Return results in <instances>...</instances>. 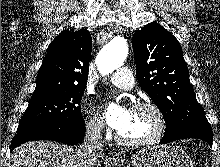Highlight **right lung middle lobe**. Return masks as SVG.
Listing matches in <instances>:
<instances>
[{"label": "right lung middle lobe", "instance_id": "dd1d6c3e", "mask_svg": "<svg viewBox=\"0 0 220 167\" xmlns=\"http://www.w3.org/2000/svg\"><path fill=\"white\" fill-rule=\"evenodd\" d=\"M83 87H69L58 92L31 98L19 121L17 133L44 127L62 128L77 126L84 122L80 101Z\"/></svg>", "mask_w": 220, "mask_h": 167}]
</instances>
